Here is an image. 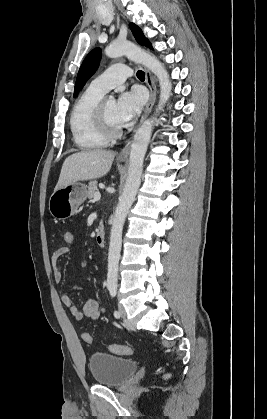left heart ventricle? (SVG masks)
Wrapping results in <instances>:
<instances>
[{"mask_svg": "<svg viewBox=\"0 0 267 419\" xmlns=\"http://www.w3.org/2000/svg\"><path fill=\"white\" fill-rule=\"evenodd\" d=\"M105 114L109 125L112 128H121L122 126L118 123L116 117V102L115 101H106L105 105Z\"/></svg>", "mask_w": 267, "mask_h": 419, "instance_id": "b2bd125f", "label": "left heart ventricle"}]
</instances>
